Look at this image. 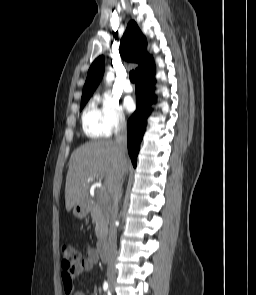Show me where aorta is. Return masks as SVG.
<instances>
[{
    "label": "aorta",
    "mask_w": 256,
    "mask_h": 295,
    "mask_svg": "<svg viewBox=\"0 0 256 295\" xmlns=\"http://www.w3.org/2000/svg\"><path fill=\"white\" fill-rule=\"evenodd\" d=\"M114 74L112 71H109L106 75V82L110 84L113 81Z\"/></svg>",
    "instance_id": "obj_1"
}]
</instances>
